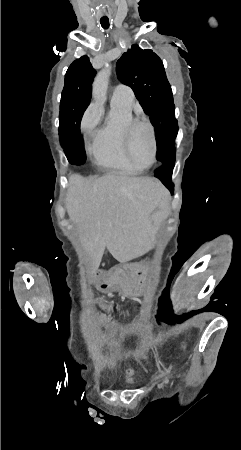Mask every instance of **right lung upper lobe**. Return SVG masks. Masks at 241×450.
Wrapping results in <instances>:
<instances>
[{
  "label": "right lung upper lobe",
  "instance_id": "cb5924a9",
  "mask_svg": "<svg viewBox=\"0 0 241 450\" xmlns=\"http://www.w3.org/2000/svg\"><path fill=\"white\" fill-rule=\"evenodd\" d=\"M92 74H96V71L93 69L89 61V58L87 56H82L81 58L75 60L70 65L65 75V81H68L81 75H92Z\"/></svg>",
  "mask_w": 241,
  "mask_h": 450
}]
</instances>
